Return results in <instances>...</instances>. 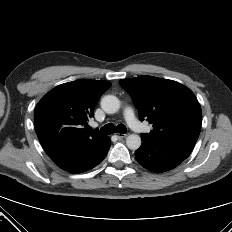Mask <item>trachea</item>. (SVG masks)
<instances>
[{"label":"trachea","mask_w":232,"mask_h":232,"mask_svg":"<svg viewBox=\"0 0 232 232\" xmlns=\"http://www.w3.org/2000/svg\"><path fill=\"white\" fill-rule=\"evenodd\" d=\"M127 131L126 126L123 124H119L114 126L113 124L109 123L106 124L99 132L100 135H110L114 132L125 134Z\"/></svg>","instance_id":"1"}]
</instances>
